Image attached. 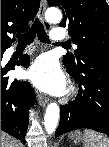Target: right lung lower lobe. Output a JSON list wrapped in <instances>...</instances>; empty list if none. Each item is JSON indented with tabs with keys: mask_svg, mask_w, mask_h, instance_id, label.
Wrapping results in <instances>:
<instances>
[{
	"mask_svg": "<svg viewBox=\"0 0 109 147\" xmlns=\"http://www.w3.org/2000/svg\"><path fill=\"white\" fill-rule=\"evenodd\" d=\"M9 46L1 48V59ZM29 60L30 57L24 55L17 65L27 67ZM13 69L1 67V130L25 143L29 109L35 103L36 98L34 89L28 82H21L17 79L10 81L9 77H4L9 70Z\"/></svg>",
	"mask_w": 109,
	"mask_h": 147,
	"instance_id": "98d812e1",
	"label": "right lung lower lobe"
}]
</instances>
